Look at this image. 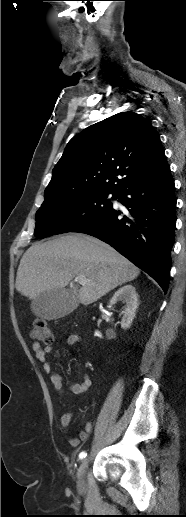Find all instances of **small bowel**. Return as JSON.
<instances>
[{
    "label": "small bowel",
    "mask_w": 186,
    "mask_h": 517,
    "mask_svg": "<svg viewBox=\"0 0 186 517\" xmlns=\"http://www.w3.org/2000/svg\"><path fill=\"white\" fill-rule=\"evenodd\" d=\"M66 341L69 346L75 347L80 343L81 338L78 334H70L67 337ZM32 350L35 354V357L43 364V369L46 372H50L51 366L47 361V354L52 350L51 346L42 347L40 345V343L33 342ZM50 381H51L54 389L58 393H60V394L64 393V382L62 380V377L58 373H50ZM91 384H92L91 378L89 377V375L85 374L83 376L82 381L80 383L71 384L69 386V390L74 394H81V393L87 391L89 389V387L91 386ZM72 418H73V412H71V411H67L61 416L60 423H61V428L64 432H66L68 430V427L72 421ZM93 429H94V424L92 422H88L85 425L84 430H82L79 433L78 437L68 436L67 441H68L69 445L72 447H77L81 441H86L89 438Z\"/></svg>",
    "instance_id": "c3829d8e"
}]
</instances>
